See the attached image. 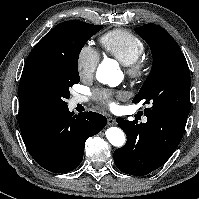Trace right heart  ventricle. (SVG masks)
<instances>
[{"label": "right heart ventricle", "instance_id": "right-heart-ventricle-1", "mask_svg": "<svg viewBox=\"0 0 199 199\" xmlns=\"http://www.w3.org/2000/svg\"><path fill=\"white\" fill-rule=\"evenodd\" d=\"M100 43L106 53L116 58L123 65L134 62L140 58L145 51L143 41L133 33L124 29L107 32L101 36Z\"/></svg>", "mask_w": 199, "mask_h": 199}]
</instances>
